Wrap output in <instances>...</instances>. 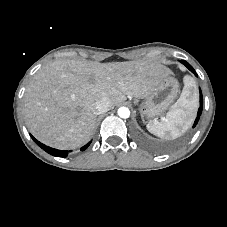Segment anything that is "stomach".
Listing matches in <instances>:
<instances>
[{
    "label": "stomach",
    "instance_id": "obj_1",
    "mask_svg": "<svg viewBox=\"0 0 227 227\" xmlns=\"http://www.w3.org/2000/svg\"><path fill=\"white\" fill-rule=\"evenodd\" d=\"M179 92V83L174 77L164 78L142 102L140 113L148 119L160 116L172 106Z\"/></svg>",
    "mask_w": 227,
    "mask_h": 227
}]
</instances>
